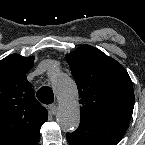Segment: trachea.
Returning a JSON list of instances; mask_svg holds the SVG:
<instances>
[{"label":"trachea","instance_id":"1","mask_svg":"<svg viewBox=\"0 0 145 145\" xmlns=\"http://www.w3.org/2000/svg\"><path fill=\"white\" fill-rule=\"evenodd\" d=\"M37 98L43 104H51L54 101V94L50 87L43 86L41 87L36 94Z\"/></svg>","mask_w":145,"mask_h":145}]
</instances>
